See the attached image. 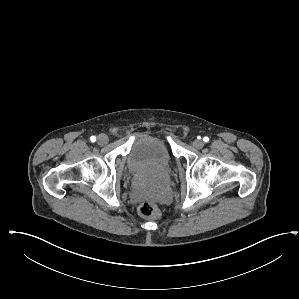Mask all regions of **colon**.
Returning <instances> with one entry per match:
<instances>
[{
	"label": "colon",
	"instance_id": "obj_1",
	"mask_svg": "<svg viewBox=\"0 0 299 299\" xmlns=\"http://www.w3.org/2000/svg\"><path fill=\"white\" fill-rule=\"evenodd\" d=\"M137 211L141 217L150 220L157 219L161 215L160 209L154 203L148 201L142 202Z\"/></svg>",
	"mask_w": 299,
	"mask_h": 299
}]
</instances>
